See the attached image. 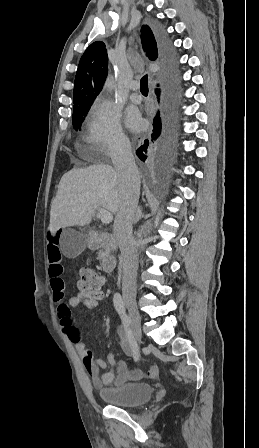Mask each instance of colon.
<instances>
[{"label": "colon", "mask_w": 259, "mask_h": 448, "mask_svg": "<svg viewBox=\"0 0 259 448\" xmlns=\"http://www.w3.org/2000/svg\"><path fill=\"white\" fill-rule=\"evenodd\" d=\"M104 278L92 268L82 270L77 288L82 294L96 295L102 292Z\"/></svg>", "instance_id": "obj_1"}]
</instances>
